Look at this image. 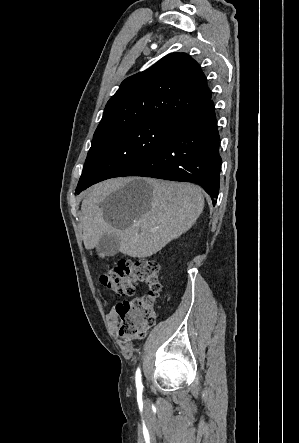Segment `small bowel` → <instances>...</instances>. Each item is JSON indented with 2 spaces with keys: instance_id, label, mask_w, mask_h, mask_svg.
<instances>
[{
  "instance_id": "c3829d8e",
  "label": "small bowel",
  "mask_w": 299,
  "mask_h": 443,
  "mask_svg": "<svg viewBox=\"0 0 299 443\" xmlns=\"http://www.w3.org/2000/svg\"><path fill=\"white\" fill-rule=\"evenodd\" d=\"M106 319L108 321V327L111 332L116 333L118 331L119 318L116 312V308L112 307L106 313Z\"/></svg>"
}]
</instances>
